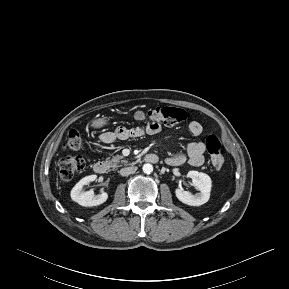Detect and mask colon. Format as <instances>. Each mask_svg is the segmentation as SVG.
Wrapping results in <instances>:
<instances>
[{
	"label": "colon",
	"mask_w": 289,
	"mask_h": 289,
	"mask_svg": "<svg viewBox=\"0 0 289 289\" xmlns=\"http://www.w3.org/2000/svg\"><path fill=\"white\" fill-rule=\"evenodd\" d=\"M189 117L188 112L174 107H156L148 110H140L135 113V119L145 123H163L167 126L181 124ZM83 145L82 134L78 130H71L67 139L63 143V149L66 151L79 150ZM206 146L210 154L212 165L219 169L224 164L222 154V142L218 135L210 134L206 139ZM85 166L84 157L68 156L59 163V177L63 182L71 181L79 174Z\"/></svg>",
	"instance_id": "5ec220e1"
}]
</instances>
